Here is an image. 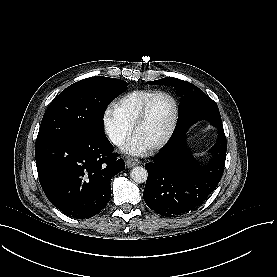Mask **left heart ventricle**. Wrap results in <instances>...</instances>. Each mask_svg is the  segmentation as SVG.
I'll return each mask as SVG.
<instances>
[{
  "label": "left heart ventricle",
  "mask_w": 277,
  "mask_h": 277,
  "mask_svg": "<svg viewBox=\"0 0 277 277\" xmlns=\"http://www.w3.org/2000/svg\"><path fill=\"white\" fill-rule=\"evenodd\" d=\"M173 114V103L165 97L155 98L142 121L137 137L145 145L160 141L166 134Z\"/></svg>",
  "instance_id": "obj_1"
}]
</instances>
